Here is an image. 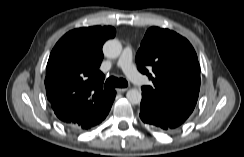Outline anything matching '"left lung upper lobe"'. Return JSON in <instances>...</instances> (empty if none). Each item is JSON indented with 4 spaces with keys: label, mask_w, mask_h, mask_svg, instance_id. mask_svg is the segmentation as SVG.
Segmentation results:
<instances>
[{
    "label": "left lung upper lobe",
    "mask_w": 244,
    "mask_h": 157,
    "mask_svg": "<svg viewBox=\"0 0 244 157\" xmlns=\"http://www.w3.org/2000/svg\"><path fill=\"white\" fill-rule=\"evenodd\" d=\"M136 63L153 82L142 87V99L168 124L179 127L193 112L200 90V65L190 42L169 29L151 27L141 42Z\"/></svg>",
    "instance_id": "left-lung-upper-lobe-1"
}]
</instances>
